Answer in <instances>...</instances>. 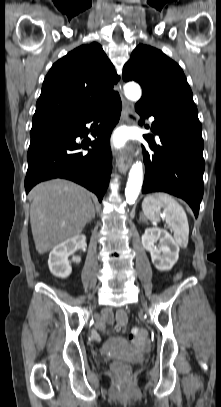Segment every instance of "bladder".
Returning a JSON list of instances; mask_svg holds the SVG:
<instances>
[{
    "mask_svg": "<svg viewBox=\"0 0 221 407\" xmlns=\"http://www.w3.org/2000/svg\"><path fill=\"white\" fill-rule=\"evenodd\" d=\"M125 347V343L120 339H112L109 341L107 351L110 353H118Z\"/></svg>",
    "mask_w": 221,
    "mask_h": 407,
    "instance_id": "obj_1",
    "label": "bladder"
}]
</instances>
